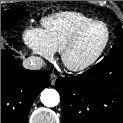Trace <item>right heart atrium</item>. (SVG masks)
<instances>
[{"label":"right heart atrium","mask_w":123,"mask_h":123,"mask_svg":"<svg viewBox=\"0 0 123 123\" xmlns=\"http://www.w3.org/2000/svg\"><path fill=\"white\" fill-rule=\"evenodd\" d=\"M23 41L33 54L40 58L51 59L54 56L55 51L50 47L42 30L39 28H26L23 32Z\"/></svg>","instance_id":"1"}]
</instances>
